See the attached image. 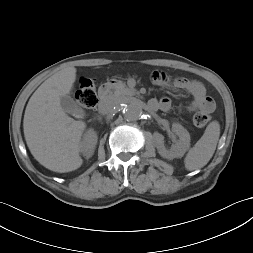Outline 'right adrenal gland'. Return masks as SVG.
<instances>
[{
    "label": "right adrenal gland",
    "mask_w": 253,
    "mask_h": 253,
    "mask_svg": "<svg viewBox=\"0 0 253 253\" xmlns=\"http://www.w3.org/2000/svg\"><path fill=\"white\" fill-rule=\"evenodd\" d=\"M98 120H101V117L98 116Z\"/></svg>",
    "instance_id": "right-adrenal-gland-1"
}]
</instances>
